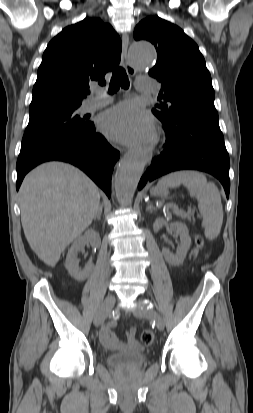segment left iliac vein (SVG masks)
<instances>
[{"mask_svg": "<svg viewBox=\"0 0 253 413\" xmlns=\"http://www.w3.org/2000/svg\"><path fill=\"white\" fill-rule=\"evenodd\" d=\"M134 316L138 318H151L156 322L157 328L162 331L164 329V320L156 311L150 309L142 301L137 302V307L133 311Z\"/></svg>", "mask_w": 253, "mask_h": 413, "instance_id": "obj_1", "label": "left iliac vein"}]
</instances>
